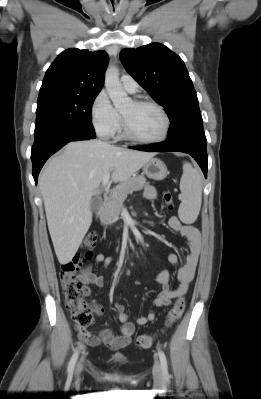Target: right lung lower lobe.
I'll return each mask as SVG.
<instances>
[{
    "label": "right lung lower lobe",
    "instance_id": "obj_1",
    "mask_svg": "<svg viewBox=\"0 0 261 399\" xmlns=\"http://www.w3.org/2000/svg\"><path fill=\"white\" fill-rule=\"evenodd\" d=\"M94 138V131L84 130L65 122L52 123L35 129L31 160L36 184L44 163L66 143Z\"/></svg>",
    "mask_w": 261,
    "mask_h": 399
}]
</instances>
